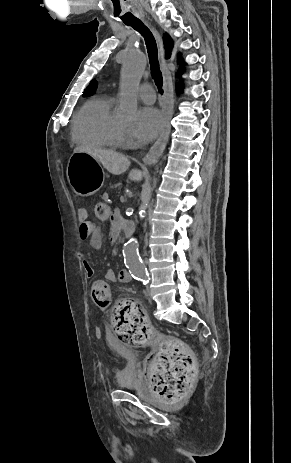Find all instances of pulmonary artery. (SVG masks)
<instances>
[{"instance_id": "e3ab8cb5", "label": "pulmonary artery", "mask_w": 291, "mask_h": 463, "mask_svg": "<svg viewBox=\"0 0 291 463\" xmlns=\"http://www.w3.org/2000/svg\"><path fill=\"white\" fill-rule=\"evenodd\" d=\"M138 95L140 99L146 104H152L155 102V90L151 85L142 84L138 89Z\"/></svg>"}]
</instances>
